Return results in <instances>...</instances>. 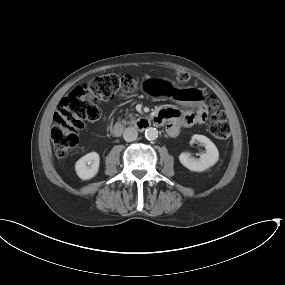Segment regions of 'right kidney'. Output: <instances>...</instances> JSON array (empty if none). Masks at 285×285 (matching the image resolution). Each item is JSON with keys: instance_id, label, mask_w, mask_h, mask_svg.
Instances as JSON below:
<instances>
[{"instance_id": "obj_1", "label": "right kidney", "mask_w": 285, "mask_h": 285, "mask_svg": "<svg viewBox=\"0 0 285 285\" xmlns=\"http://www.w3.org/2000/svg\"><path fill=\"white\" fill-rule=\"evenodd\" d=\"M99 164V154L96 152H90L76 162L75 171L82 180H88L98 173Z\"/></svg>"}]
</instances>
